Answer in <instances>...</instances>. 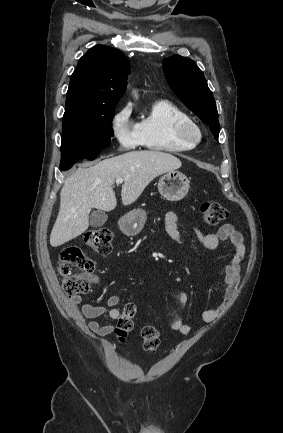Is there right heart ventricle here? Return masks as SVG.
Returning <instances> with one entry per match:
<instances>
[{
	"instance_id": "1",
	"label": "right heart ventricle",
	"mask_w": 283,
	"mask_h": 433,
	"mask_svg": "<svg viewBox=\"0 0 283 433\" xmlns=\"http://www.w3.org/2000/svg\"><path fill=\"white\" fill-rule=\"evenodd\" d=\"M190 118L184 110L167 100L155 101L138 127L144 144L151 149L165 152H181L184 149L174 139L177 121Z\"/></svg>"
}]
</instances>
